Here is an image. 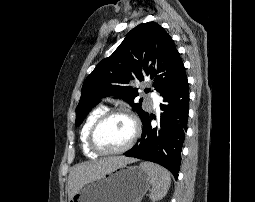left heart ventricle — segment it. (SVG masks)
<instances>
[{
  "label": "left heart ventricle",
  "mask_w": 255,
  "mask_h": 202,
  "mask_svg": "<svg viewBox=\"0 0 255 202\" xmlns=\"http://www.w3.org/2000/svg\"><path fill=\"white\" fill-rule=\"evenodd\" d=\"M132 134L133 125L128 118L113 116L98 129L96 142L104 150H117L128 143Z\"/></svg>",
  "instance_id": "1"
}]
</instances>
